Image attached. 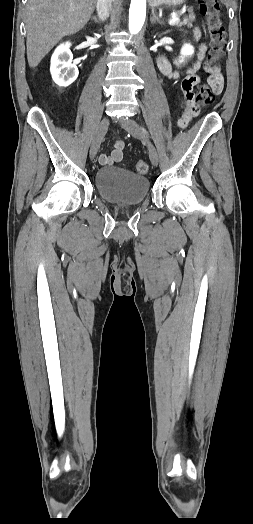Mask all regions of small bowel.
<instances>
[{
  "mask_svg": "<svg viewBox=\"0 0 253 524\" xmlns=\"http://www.w3.org/2000/svg\"><path fill=\"white\" fill-rule=\"evenodd\" d=\"M194 36L198 39L201 36L199 28L194 30ZM206 51L205 44H201L198 52L197 62L186 71L185 77L181 79L183 73H181L172 63L165 57H160L157 61L158 69L160 73L174 80H180L181 97L185 105V114L182 119L179 120L180 127H190L193 124V118H199L203 112V105L197 101V90L194 88L199 83V76L197 71L201 67ZM208 83L211 86L213 92L216 95H220L224 88V78L219 69L213 70V75L209 77ZM125 144L122 140H116L113 143V150L109 153H103L99 156L98 161L101 165H113L119 162L123 158Z\"/></svg>",
  "mask_w": 253,
  "mask_h": 524,
  "instance_id": "obj_1",
  "label": "small bowel"
}]
</instances>
